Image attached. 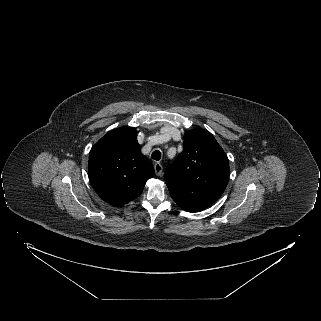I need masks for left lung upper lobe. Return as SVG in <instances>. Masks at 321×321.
<instances>
[{
  "label": "left lung upper lobe",
  "instance_id": "1",
  "mask_svg": "<svg viewBox=\"0 0 321 321\" xmlns=\"http://www.w3.org/2000/svg\"><path fill=\"white\" fill-rule=\"evenodd\" d=\"M229 179L227 155L212 134L194 129L184 150L165 173V183L181 208L205 209L223 194Z\"/></svg>",
  "mask_w": 321,
  "mask_h": 321
}]
</instances>
